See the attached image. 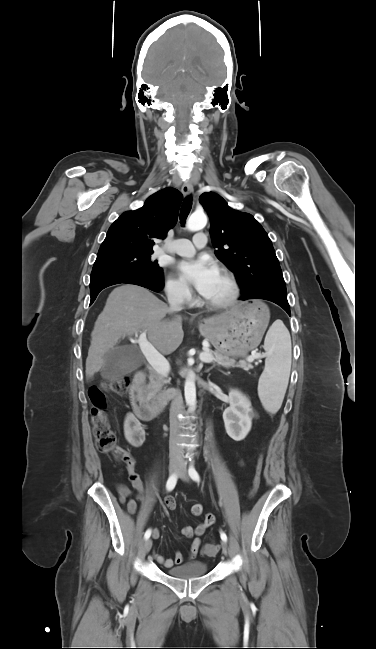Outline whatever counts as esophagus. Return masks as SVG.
Here are the masks:
<instances>
[{
	"label": "esophagus",
	"instance_id": "obj_1",
	"mask_svg": "<svg viewBox=\"0 0 376 649\" xmlns=\"http://www.w3.org/2000/svg\"><path fill=\"white\" fill-rule=\"evenodd\" d=\"M193 190H194L193 185L190 182L184 183L181 189L183 195L185 196L190 195L193 192Z\"/></svg>",
	"mask_w": 376,
	"mask_h": 649
}]
</instances>
